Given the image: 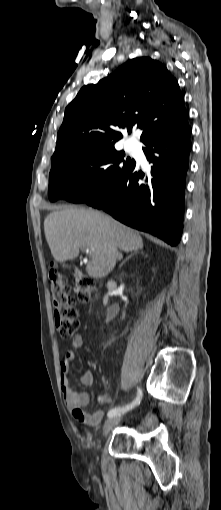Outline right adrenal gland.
Masks as SVG:
<instances>
[{
	"label": "right adrenal gland",
	"instance_id": "2a0ac1e0",
	"mask_svg": "<svg viewBox=\"0 0 221 510\" xmlns=\"http://www.w3.org/2000/svg\"><path fill=\"white\" fill-rule=\"evenodd\" d=\"M141 253H142V252H141ZM135 254H137V252H134V253H131L130 255H128V256L126 257V259H125V260L121 263V265H123V264H124L127 260H129V259H130L133 255H135ZM121 257H122V256H121ZM121 257H120V258H121Z\"/></svg>",
	"mask_w": 221,
	"mask_h": 510
}]
</instances>
